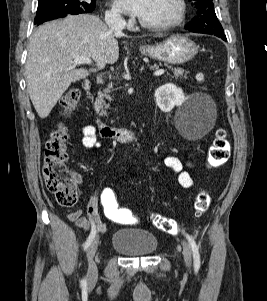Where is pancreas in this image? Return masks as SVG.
Returning <instances> with one entry per match:
<instances>
[{"instance_id": "cf45deb5", "label": "pancreas", "mask_w": 267, "mask_h": 301, "mask_svg": "<svg viewBox=\"0 0 267 301\" xmlns=\"http://www.w3.org/2000/svg\"><path fill=\"white\" fill-rule=\"evenodd\" d=\"M157 67H158L157 65L152 66V68H157ZM172 73H173L172 78L187 79V73L188 72L184 71L181 68L172 69ZM112 88H113L112 85H108V87L105 88L103 91L98 92V96H97L94 104H95V106H98L100 109H102V111H103V109L109 108V104L106 103L105 99L112 100V98L109 95Z\"/></svg>"}]
</instances>
